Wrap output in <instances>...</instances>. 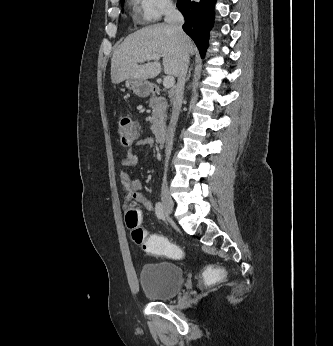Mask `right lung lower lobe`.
Here are the masks:
<instances>
[{
	"mask_svg": "<svg viewBox=\"0 0 333 346\" xmlns=\"http://www.w3.org/2000/svg\"><path fill=\"white\" fill-rule=\"evenodd\" d=\"M216 0H178L177 7L185 17L183 30L193 39L202 57L208 47L209 31L214 21Z\"/></svg>",
	"mask_w": 333,
	"mask_h": 346,
	"instance_id": "obj_1",
	"label": "right lung lower lobe"
}]
</instances>
